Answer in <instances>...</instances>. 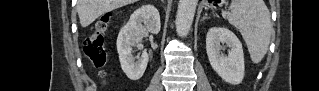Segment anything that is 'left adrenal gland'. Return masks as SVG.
<instances>
[{
  "label": "left adrenal gland",
  "instance_id": "a2214340",
  "mask_svg": "<svg viewBox=\"0 0 319 91\" xmlns=\"http://www.w3.org/2000/svg\"><path fill=\"white\" fill-rule=\"evenodd\" d=\"M208 19L207 13H205L204 17L202 18V21Z\"/></svg>",
  "mask_w": 319,
  "mask_h": 91
}]
</instances>
